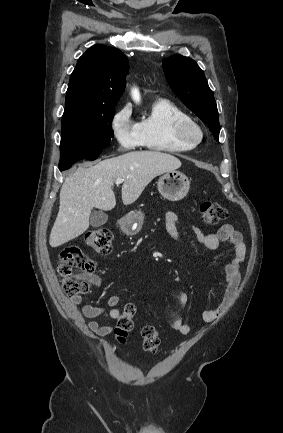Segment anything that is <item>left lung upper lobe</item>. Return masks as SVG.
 <instances>
[{
  "label": "left lung upper lobe",
  "mask_w": 283,
  "mask_h": 433,
  "mask_svg": "<svg viewBox=\"0 0 283 433\" xmlns=\"http://www.w3.org/2000/svg\"><path fill=\"white\" fill-rule=\"evenodd\" d=\"M163 70L173 92L204 123L210 125V130L218 141L220 124L216 101L197 63L191 58L176 54L163 60Z\"/></svg>",
  "instance_id": "left-lung-upper-lobe-1"
}]
</instances>
